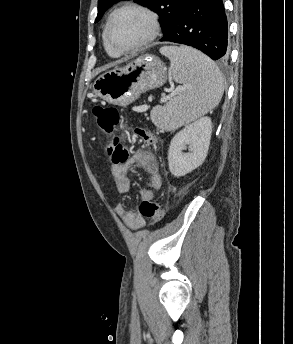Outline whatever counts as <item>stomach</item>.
<instances>
[{
  "mask_svg": "<svg viewBox=\"0 0 293 344\" xmlns=\"http://www.w3.org/2000/svg\"><path fill=\"white\" fill-rule=\"evenodd\" d=\"M167 80L163 62L152 55H143L124 67L100 75L93 84L94 92L103 100L127 106L150 89L162 86Z\"/></svg>",
  "mask_w": 293,
  "mask_h": 344,
  "instance_id": "0dacf381",
  "label": "stomach"
}]
</instances>
